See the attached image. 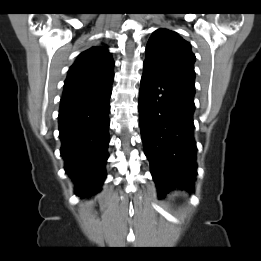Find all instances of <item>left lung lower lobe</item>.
I'll use <instances>...</instances> for the list:
<instances>
[{"instance_id":"1","label":"left lung lower lobe","mask_w":261,"mask_h":261,"mask_svg":"<svg viewBox=\"0 0 261 261\" xmlns=\"http://www.w3.org/2000/svg\"><path fill=\"white\" fill-rule=\"evenodd\" d=\"M195 87L143 64L139 124L145 154L160 196L194 190L197 175L193 115Z\"/></svg>"}]
</instances>
